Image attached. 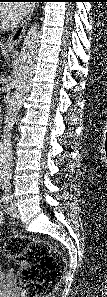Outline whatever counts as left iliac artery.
Returning <instances> with one entry per match:
<instances>
[{"instance_id": "44dca946", "label": "left iliac artery", "mask_w": 107, "mask_h": 297, "mask_svg": "<svg viewBox=\"0 0 107 297\" xmlns=\"http://www.w3.org/2000/svg\"><path fill=\"white\" fill-rule=\"evenodd\" d=\"M1 201L4 204H9L12 201V195L9 194V189H7V187H5V193L2 196Z\"/></svg>"}]
</instances>
